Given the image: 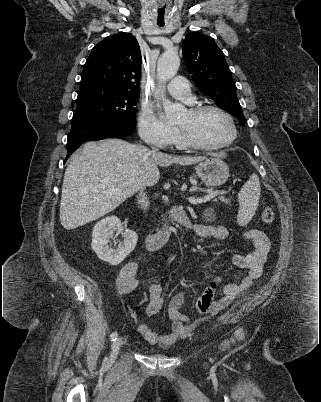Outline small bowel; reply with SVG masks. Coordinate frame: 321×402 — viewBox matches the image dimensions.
Returning a JSON list of instances; mask_svg holds the SVG:
<instances>
[{"label":"small bowel","instance_id":"small-bowel-1","mask_svg":"<svg viewBox=\"0 0 321 402\" xmlns=\"http://www.w3.org/2000/svg\"><path fill=\"white\" fill-rule=\"evenodd\" d=\"M184 226L202 238H215L224 240L228 236L227 229L222 225H205L192 223L185 220ZM244 239L252 244V250L248 254H232L230 256L231 264L244 271L237 276L238 283H222L220 278H215L206 287L203 294L198 298V304L211 300V307L205 313V317L218 315L225 308L230 306L237 298L260 278L263 272V265L270 251V241L264 231L259 229H249L243 233ZM138 264L130 262L125 264L116 280L119 293L128 294L135 291L140 281L137 278ZM221 291L222 296L216 298L217 292ZM162 286L157 283L149 285V302L146 307L148 316H155L163 306ZM184 302V293L177 292L168 305V314L172 320V332L168 334H158L150 326L140 323L137 327L138 332L146 341L151 344H157L161 347H169L187 337L193 330L195 323L191 322L189 317L180 311Z\"/></svg>","mask_w":321,"mask_h":402}]
</instances>
